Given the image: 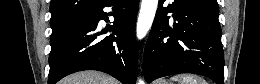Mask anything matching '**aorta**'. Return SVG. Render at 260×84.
Returning a JSON list of instances; mask_svg holds the SVG:
<instances>
[{"label": "aorta", "mask_w": 260, "mask_h": 84, "mask_svg": "<svg viewBox=\"0 0 260 84\" xmlns=\"http://www.w3.org/2000/svg\"><path fill=\"white\" fill-rule=\"evenodd\" d=\"M157 6L158 0H142L136 27L138 39L144 38L151 28ZM138 84H144V81L139 80Z\"/></svg>", "instance_id": "1"}]
</instances>
